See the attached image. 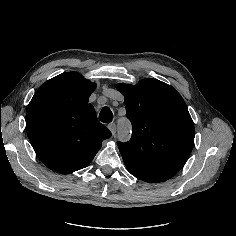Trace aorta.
Segmentation results:
<instances>
[{
  "label": "aorta",
  "mask_w": 236,
  "mask_h": 236,
  "mask_svg": "<svg viewBox=\"0 0 236 236\" xmlns=\"http://www.w3.org/2000/svg\"><path fill=\"white\" fill-rule=\"evenodd\" d=\"M119 137L123 140H127L130 136V132H131V126L130 123L126 120H121L119 121Z\"/></svg>",
  "instance_id": "obj_1"
}]
</instances>
